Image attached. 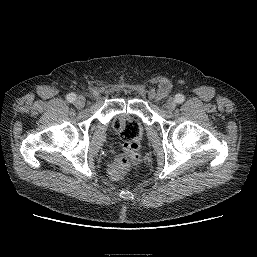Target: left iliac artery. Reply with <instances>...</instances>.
<instances>
[{
  "instance_id": "obj_1",
  "label": "left iliac artery",
  "mask_w": 257,
  "mask_h": 257,
  "mask_svg": "<svg viewBox=\"0 0 257 257\" xmlns=\"http://www.w3.org/2000/svg\"><path fill=\"white\" fill-rule=\"evenodd\" d=\"M184 100H185V97H184V95H182V94H177L176 96H175V101L177 102V103H183L184 102Z\"/></svg>"
}]
</instances>
